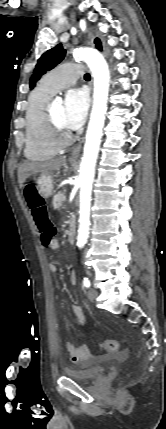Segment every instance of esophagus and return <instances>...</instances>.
Returning <instances> with one entry per match:
<instances>
[{"label":"esophagus","mask_w":166,"mask_h":429,"mask_svg":"<svg viewBox=\"0 0 166 429\" xmlns=\"http://www.w3.org/2000/svg\"><path fill=\"white\" fill-rule=\"evenodd\" d=\"M81 148H82V142H80L74 149H73V151H72V153H71V156H70V158L71 159H76L78 156H79V154H80V151H81Z\"/></svg>","instance_id":"34e87169"}]
</instances>
